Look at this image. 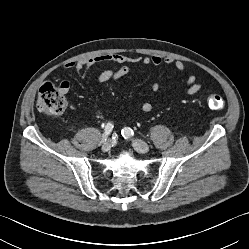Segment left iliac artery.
Listing matches in <instances>:
<instances>
[{
    "instance_id": "1",
    "label": "left iliac artery",
    "mask_w": 249,
    "mask_h": 249,
    "mask_svg": "<svg viewBox=\"0 0 249 249\" xmlns=\"http://www.w3.org/2000/svg\"><path fill=\"white\" fill-rule=\"evenodd\" d=\"M122 135L124 138H129L134 135V132L131 128L125 127L124 129H122Z\"/></svg>"
}]
</instances>
